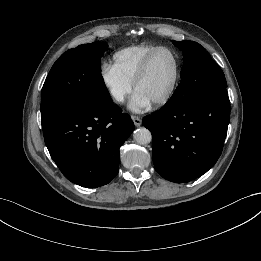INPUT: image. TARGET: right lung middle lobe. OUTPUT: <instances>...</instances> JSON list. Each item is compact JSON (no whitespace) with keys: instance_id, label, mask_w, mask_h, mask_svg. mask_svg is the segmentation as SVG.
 <instances>
[{"instance_id":"obj_1","label":"right lung middle lobe","mask_w":261,"mask_h":261,"mask_svg":"<svg viewBox=\"0 0 261 261\" xmlns=\"http://www.w3.org/2000/svg\"><path fill=\"white\" fill-rule=\"evenodd\" d=\"M107 47L101 42L83 44L54 63L41 92L43 128L72 112L104 107L112 101L100 68Z\"/></svg>"}]
</instances>
